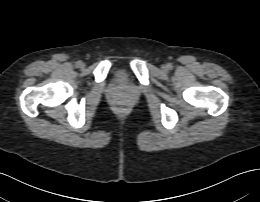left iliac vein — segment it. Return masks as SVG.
Masks as SVG:
<instances>
[{"mask_svg": "<svg viewBox=\"0 0 260 202\" xmlns=\"http://www.w3.org/2000/svg\"><path fill=\"white\" fill-rule=\"evenodd\" d=\"M162 69H163V70H166V69H167V66H165V65L162 66Z\"/></svg>", "mask_w": 260, "mask_h": 202, "instance_id": "obj_1", "label": "left iliac vein"}]
</instances>
